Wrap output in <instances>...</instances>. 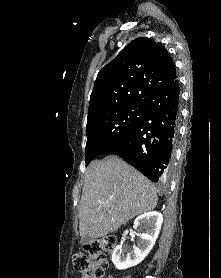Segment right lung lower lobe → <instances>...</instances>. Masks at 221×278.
Returning <instances> with one entry per match:
<instances>
[{
	"mask_svg": "<svg viewBox=\"0 0 221 278\" xmlns=\"http://www.w3.org/2000/svg\"><path fill=\"white\" fill-rule=\"evenodd\" d=\"M145 104L146 113L136 127L101 153L117 154L150 180L164 181L169 176L177 136L178 79L151 93Z\"/></svg>",
	"mask_w": 221,
	"mask_h": 278,
	"instance_id": "obj_1",
	"label": "right lung lower lobe"
}]
</instances>
